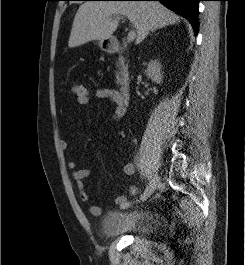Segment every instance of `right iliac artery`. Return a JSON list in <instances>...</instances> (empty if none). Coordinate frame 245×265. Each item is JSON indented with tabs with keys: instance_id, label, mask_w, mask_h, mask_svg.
I'll use <instances>...</instances> for the list:
<instances>
[{
	"instance_id": "82829eb1",
	"label": "right iliac artery",
	"mask_w": 245,
	"mask_h": 265,
	"mask_svg": "<svg viewBox=\"0 0 245 265\" xmlns=\"http://www.w3.org/2000/svg\"><path fill=\"white\" fill-rule=\"evenodd\" d=\"M151 184H152V177L150 176L149 177V184H148L146 190L144 191V193L141 195L140 200L136 201V204H138V203L140 204L141 202H144L149 197V190H150ZM131 205H132V203H130V202H124L120 205V207L125 209V208L130 207Z\"/></svg>"
}]
</instances>
